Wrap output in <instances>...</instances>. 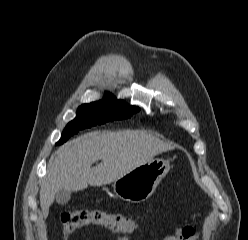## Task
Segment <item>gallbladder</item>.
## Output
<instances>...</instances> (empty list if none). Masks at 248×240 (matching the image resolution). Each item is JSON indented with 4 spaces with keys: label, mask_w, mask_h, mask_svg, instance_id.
<instances>
[{
    "label": "gallbladder",
    "mask_w": 248,
    "mask_h": 240,
    "mask_svg": "<svg viewBox=\"0 0 248 240\" xmlns=\"http://www.w3.org/2000/svg\"><path fill=\"white\" fill-rule=\"evenodd\" d=\"M71 198V192L61 189L55 193L56 202L60 205L66 204Z\"/></svg>",
    "instance_id": "bac80fb5"
}]
</instances>
